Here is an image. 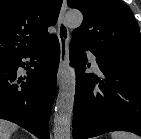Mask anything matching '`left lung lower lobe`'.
<instances>
[{"label":"left lung lower lobe","instance_id":"obj_1","mask_svg":"<svg viewBox=\"0 0 141 139\" xmlns=\"http://www.w3.org/2000/svg\"><path fill=\"white\" fill-rule=\"evenodd\" d=\"M85 50L96 56L104 76L102 80L85 73ZM70 60L76 72L73 139L110 131H128L141 136V62L100 53L73 39Z\"/></svg>","mask_w":141,"mask_h":139}]
</instances>
